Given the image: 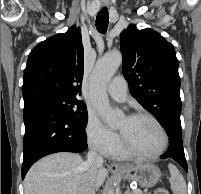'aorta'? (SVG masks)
<instances>
[{
    "instance_id": "aorta-1",
    "label": "aorta",
    "mask_w": 201,
    "mask_h": 194,
    "mask_svg": "<svg viewBox=\"0 0 201 194\" xmlns=\"http://www.w3.org/2000/svg\"><path fill=\"white\" fill-rule=\"evenodd\" d=\"M122 63L120 52H112L98 59L90 77V95L93 106L101 115L104 121L115 127L119 124L123 113L113 110L107 97V86ZM107 194H115L109 188Z\"/></svg>"
}]
</instances>
